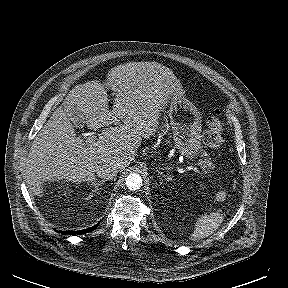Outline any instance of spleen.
Masks as SVG:
<instances>
[{"mask_svg":"<svg viewBox=\"0 0 288 288\" xmlns=\"http://www.w3.org/2000/svg\"><path fill=\"white\" fill-rule=\"evenodd\" d=\"M222 222L223 216L218 212L202 215L195 224L190 240L196 241L210 236Z\"/></svg>","mask_w":288,"mask_h":288,"instance_id":"obj_1","label":"spleen"}]
</instances>
